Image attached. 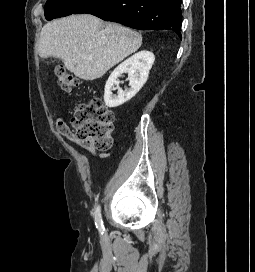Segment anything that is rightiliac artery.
<instances>
[{
	"instance_id": "82829eb1",
	"label": "right iliac artery",
	"mask_w": 255,
	"mask_h": 272,
	"mask_svg": "<svg viewBox=\"0 0 255 272\" xmlns=\"http://www.w3.org/2000/svg\"><path fill=\"white\" fill-rule=\"evenodd\" d=\"M94 218H95V224H96L97 229L103 233L104 225H103V221H102V217H101V209H100L99 205L96 207Z\"/></svg>"
}]
</instances>
